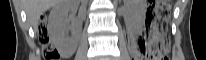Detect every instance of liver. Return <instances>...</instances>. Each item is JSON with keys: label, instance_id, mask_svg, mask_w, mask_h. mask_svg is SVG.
Here are the masks:
<instances>
[{"label": "liver", "instance_id": "liver-1", "mask_svg": "<svg viewBox=\"0 0 206 60\" xmlns=\"http://www.w3.org/2000/svg\"><path fill=\"white\" fill-rule=\"evenodd\" d=\"M60 3H62V0H24L27 19L34 30L38 29V22L41 15Z\"/></svg>", "mask_w": 206, "mask_h": 60}]
</instances>
